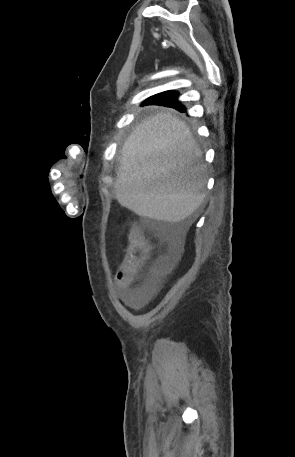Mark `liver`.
<instances>
[{"instance_id":"liver-1","label":"liver","mask_w":295,"mask_h":457,"mask_svg":"<svg viewBox=\"0 0 295 457\" xmlns=\"http://www.w3.org/2000/svg\"><path fill=\"white\" fill-rule=\"evenodd\" d=\"M201 155L186 123L159 112L137 125L125 141L114 195L139 216L184 221L205 198Z\"/></svg>"}]
</instances>
